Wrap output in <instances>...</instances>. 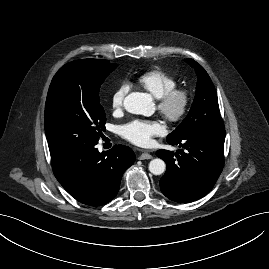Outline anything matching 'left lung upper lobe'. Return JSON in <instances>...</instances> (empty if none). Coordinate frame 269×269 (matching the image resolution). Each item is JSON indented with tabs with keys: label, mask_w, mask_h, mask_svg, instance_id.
<instances>
[{
	"label": "left lung upper lobe",
	"mask_w": 269,
	"mask_h": 269,
	"mask_svg": "<svg viewBox=\"0 0 269 269\" xmlns=\"http://www.w3.org/2000/svg\"><path fill=\"white\" fill-rule=\"evenodd\" d=\"M187 61L197 74L196 95L187 117L167 136V141H176L198 128L219 129L224 127L216 90L210 77L196 61L193 59Z\"/></svg>",
	"instance_id": "obj_1"
}]
</instances>
